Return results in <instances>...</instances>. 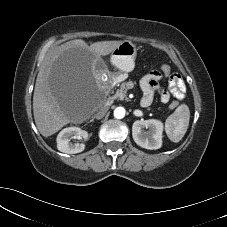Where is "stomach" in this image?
<instances>
[{"instance_id":"stomach-1","label":"stomach","mask_w":227,"mask_h":227,"mask_svg":"<svg viewBox=\"0 0 227 227\" xmlns=\"http://www.w3.org/2000/svg\"><path fill=\"white\" fill-rule=\"evenodd\" d=\"M137 55L136 46L130 41H124L111 54V63L121 72H130L134 69Z\"/></svg>"}]
</instances>
